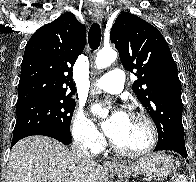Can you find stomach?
<instances>
[{"label": "stomach", "instance_id": "stomach-1", "mask_svg": "<svg viewBox=\"0 0 196 182\" xmlns=\"http://www.w3.org/2000/svg\"><path fill=\"white\" fill-rule=\"evenodd\" d=\"M173 159L161 152L152 153L135 162H128L110 169V172L126 178L143 174L150 179H163L173 169Z\"/></svg>", "mask_w": 196, "mask_h": 182}]
</instances>
